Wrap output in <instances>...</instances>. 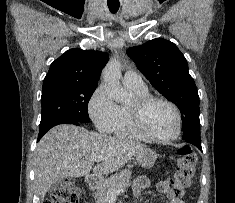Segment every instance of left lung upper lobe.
<instances>
[{
  "label": "left lung upper lobe",
  "mask_w": 235,
  "mask_h": 203,
  "mask_svg": "<svg viewBox=\"0 0 235 203\" xmlns=\"http://www.w3.org/2000/svg\"><path fill=\"white\" fill-rule=\"evenodd\" d=\"M127 53L153 87L177 105L182 115L183 136L200 140L197 87L177 46L156 38L129 48Z\"/></svg>",
  "instance_id": "1"
}]
</instances>
